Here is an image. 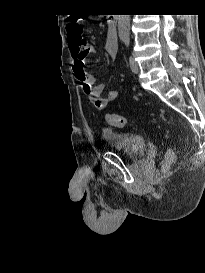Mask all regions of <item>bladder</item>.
I'll use <instances>...</instances> for the list:
<instances>
[{
  "label": "bladder",
  "mask_w": 205,
  "mask_h": 273,
  "mask_svg": "<svg viewBox=\"0 0 205 273\" xmlns=\"http://www.w3.org/2000/svg\"><path fill=\"white\" fill-rule=\"evenodd\" d=\"M101 136L107 147L131 158H140L146 153L147 140L138 133H122L104 128L101 131Z\"/></svg>",
  "instance_id": "31cf9c89"
}]
</instances>
